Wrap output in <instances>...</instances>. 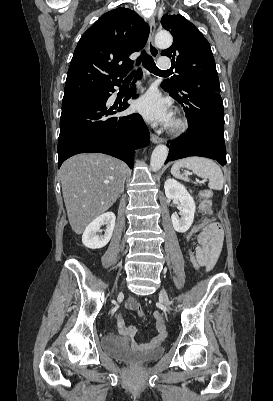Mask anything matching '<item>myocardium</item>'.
I'll return each instance as SVG.
<instances>
[{"label":"myocardium","instance_id":"1","mask_svg":"<svg viewBox=\"0 0 273 401\" xmlns=\"http://www.w3.org/2000/svg\"><path fill=\"white\" fill-rule=\"evenodd\" d=\"M189 128V121L184 117H178L172 122L170 126V132L173 135H182L185 134Z\"/></svg>","mask_w":273,"mask_h":401}]
</instances>
